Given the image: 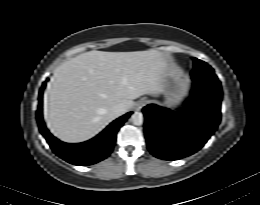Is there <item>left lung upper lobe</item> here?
Here are the masks:
<instances>
[{
	"label": "left lung upper lobe",
	"mask_w": 260,
	"mask_h": 205,
	"mask_svg": "<svg viewBox=\"0 0 260 205\" xmlns=\"http://www.w3.org/2000/svg\"><path fill=\"white\" fill-rule=\"evenodd\" d=\"M194 60V68L191 72L192 76L200 75L201 77L218 80L217 76L214 73V70L205 62L193 58Z\"/></svg>",
	"instance_id": "left-lung-upper-lobe-1"
}]
</instances>
